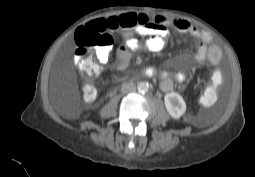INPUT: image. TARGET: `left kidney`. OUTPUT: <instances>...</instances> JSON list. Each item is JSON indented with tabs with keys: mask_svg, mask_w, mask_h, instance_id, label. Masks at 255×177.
Instances as JSON below:
<instances>
[{
	"mask_svg": "<svg viewBox=\"0 0 255 177\" xmlns=\"http://www.w3.org/2000/svg\"><path fill=\"white\" fill-rule=\"evenodd\" d=\"M166 110L172 118H180L186 111V103L182 96L176 92L164 96Z\"/></svg>",
	"mask_w": 255,
	"mask_h": 177,
	"instance_id": "obj_1",
	"label": "left kidney"
}]
</instances>
